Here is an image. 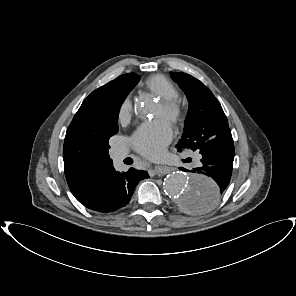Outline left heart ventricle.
Masks as SVG:
<instances>
[{
	"instance_id": "1",
	"label": "left heart ventricle",
	"mask_w": 296,
	"mask_h": 296,
	"mask_svg": "<svg viewBox=\"0 0 296 296\" xmlns=\"http://www.w3.org/2000/svg\"><path fill=\"white\" fill-rule=\"evenodd\" d=\"M157 117H164V110L162 105H160L159 110L157 112Z\"/></svg>"
}]
</instances>
